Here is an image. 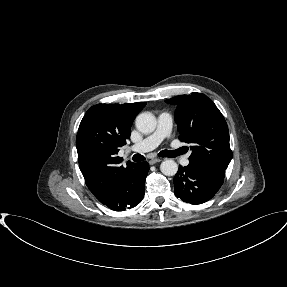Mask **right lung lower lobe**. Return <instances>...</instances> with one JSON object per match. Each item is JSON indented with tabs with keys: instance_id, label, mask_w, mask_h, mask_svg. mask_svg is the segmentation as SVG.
Segmentation results:
<instances>
[{
	"instance_id": "obj_1",
	"label": "right lung lower lobe",
	"mask_w": 287,
	"mask_h": 287,
	"mask_svg": "<svg viewBox=\"0 0 287 287\" xmlns=\"http://www.w3.org/2000/svg\"><path fill=\"white\" fill-rule=\"evenodd\" d=\"M147 162L133 163L107 190L100 202L114 211H124L138 205L144 197Z\"/></svg>"
}]
</instances>
